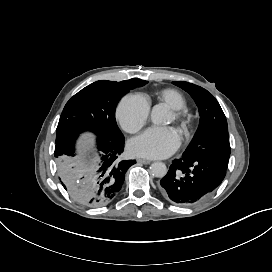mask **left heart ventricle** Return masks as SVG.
<instances>
[{"label":"left heart ventricle","mask_w":272,"mask_h":272,"mask_svg":"<svg viewBox=\"0 0 272 272\" xmlns=\"http://www.w3.org/2000/svg\"><path fill=\"white\" fill-rule=\"evenodd\" d=\"M174 120V117H173V115H172V113H171V115H170V121L169 122H171V121H173Z\"/></svg>","instance_id":"left-heart-ventricle-1"}]
</instances>
